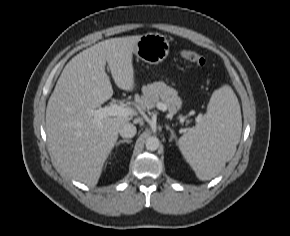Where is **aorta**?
Returning a JSON list of instances; mask_svg holds the SVG:
<instances>
[{
	"label": "aorta",
	"mask_w": 290,
	"mask_h": 236,
	"mask_svg": "<svg viewBox=\"0 0 290 236\" xmlns=\"http://www.w3.org/2000/svg\"><path fill=\"white\" fill-rule=\"evenodd\" d=\"M146 148L150 151H155L158 149L160 141L156 136H151L146 140Z\"/></svg>",
	"instance_id": "obj_1"
}]
</instances>
